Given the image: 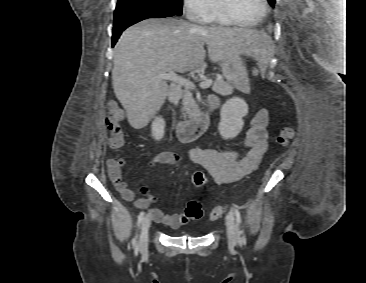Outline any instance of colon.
Returning <instances> with one entry per match:
<instances>
[{
    "mask_svg": "<svg viewBox=\"0 0 366 283\" xmlns=\"http://www.w3.org/2000/svg\"><path fill=\"white\" fill-rule=\"evenodd\" d=\"M123 118V112L116 103H112L107 110L105 122L109 131V146L111 148H121L125 144L124 134L120 125ZM295 136V130L292 127H284L277 137V142L287 147ZM192 184L195 187L202 188L205 186L207 179L204 173L195 172L191 177ZM224 207L217 206L212 209L209 214L210 220H216L221 217ZM203 215L202 205L197 201H191L187 204L183 218L185 220H198Z\"/></svg>",
    "mask_w": 366,
    "mask_h": 283,
    "instance_id": "5ec220e1",
    "label": "colon"
}]
</instances>
